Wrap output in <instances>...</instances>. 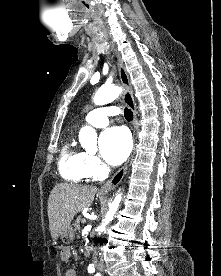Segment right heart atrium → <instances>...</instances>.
I'll list each match as a JSON object with an SVG mask.
<instances>
[{
    "mask_svg": "<svg viewBox=\"0 0 221 276\" xmlns=\"http://www.w3.org/2000/svg\"><path fill=\"white\" fill-rule=\"evenodd\" d=\"M85 169L88 177H96L106 172V167L94 155L85 154Z\"/></svg>",
    "mask_w": 221,
    "mask_h": 276,
    "instance_id": "1",
    "label": "right heart atrium"
}]
</instances>
